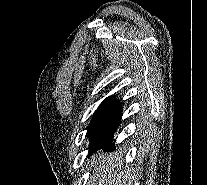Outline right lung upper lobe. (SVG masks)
I'll use <instances>...</instances> for the list:
<instances>
[{"label": "right lung upper lobe", "mask_w": 207, "mask_h": 185, "mask_svg": "<svg viewBox=\"0 0 207 185\" xmlns=\"http://www.w3.org/2000/svg\"><path fill=\"white\" fill-rule=\"evenodd\" d=\"M122 111V106L114 96L106 98L98 107L97 111Z\"/></svg>", "instance_id": "obj_1"}]
</instances>
